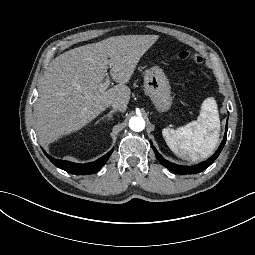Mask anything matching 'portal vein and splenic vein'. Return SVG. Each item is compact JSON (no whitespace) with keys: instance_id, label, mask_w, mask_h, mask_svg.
<instances>
[{"instance_id":"obj_1","label":"portal vein and splenic vein","mask_w":255,"mask_h":255,"mask_svg":"<svg viewBox=\"0 0 255 255\" xmlns=\"http://www.w3.org/2000/svg\"><path fill=\"white\" fill-rule=\"evenodd\" d=\"M109 85H110V80L109 78H107L104 83L99 84V87H98L99 92L104 93L106 89L109 87Z\"/></svg>"}]
</instances>
